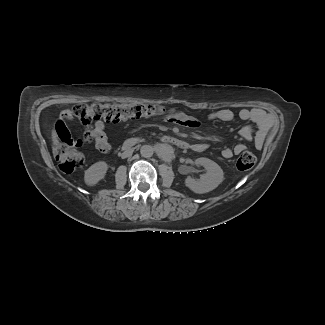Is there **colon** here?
Returning a JSON list of instances; mask_svg holds the SVG:
<instances>
[{"label":"colon","mask_w":325,"mask_h":325,"mask_svg":"<svg viewBox=\"0 0 325 325\" xmlns=\"http://www.w3.org/2000/svg\"><path fill=\"white\" fill-rule=\"evenodd\" d=\"M167 110L160 105L139 103H92L78 104L73 107L72 115L82 124L88 125L93 120L119 122L129 119L160 116ZM173 113V112H171ZM54 155L59 168L65 173H71L80 168L85 161L84 154L75 147L61 142L54 144ZM256 163V157L249 151L242 152L236 162L239 170L251 169Z\"/></svg>","instance_id":"5ec220e1"}]
</instances>
